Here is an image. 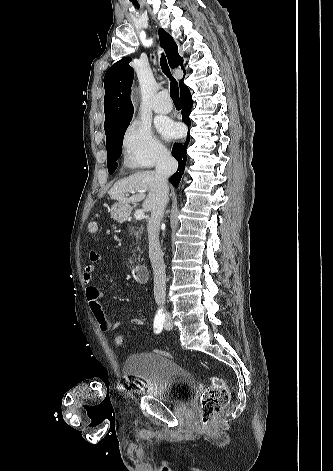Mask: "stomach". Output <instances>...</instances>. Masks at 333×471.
<instances>
[{
  "instance_id": "1",
  "label": "stomach",
  "mask_w": 333,
  "mask_h": 471,
  "mask_svg": "<svg viewBox=\"0 0 333 471\" xmlns=\"http://www.w3.org/2000/svg\"><path fill=\"white\" fill-rule=\"evenodd\" d=\"M129 209V205L117 202L110 209L111 218L117 222H123L127 219Z\"/></svg>"
}]
</instances>
